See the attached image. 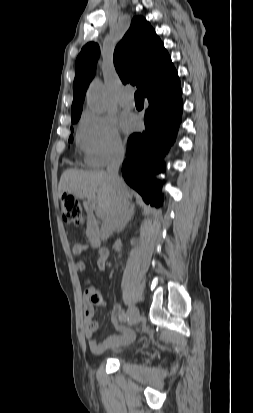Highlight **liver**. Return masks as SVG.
Returning a JSON list of instances; mask_svg holds the SVG:
<instances>
[{
    "mask_svg": "<svg viewBox=\"0 0 253 413\" xmlns=\"http://www.w3.org/2000/svg\"><path fill=\"white\" fill-rule=\"evenodd\" d=\"M127 198L130 192L125 185ZM69 193L79 199L97 200L99 208L107 214L114 199L111 182L104 171L68 169L61 175L58 195Z\"/></svg>",
    "mask_w": 253,
    "mask_h": 413,
    "instance_id": "1",
    "label": "liver"
}]
</instances>
